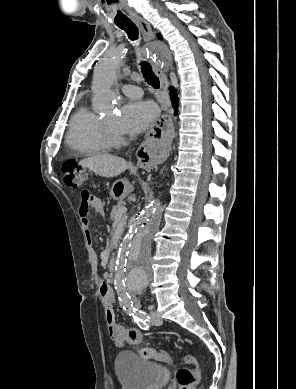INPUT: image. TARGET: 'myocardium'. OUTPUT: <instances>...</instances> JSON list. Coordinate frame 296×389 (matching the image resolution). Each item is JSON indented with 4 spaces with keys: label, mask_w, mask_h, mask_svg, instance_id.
<instances>
[{
    "label": "myocardium",
    "mask_w": 296,
    "mask_h": 389,
    "mask_svg": "<svg viewBox=\"0 0 296 389\" xmlns=\"http://www.w3.org/2000/svg\"><path fill=\"white\" fill-rule=\"evenodd\" d=\"M102 133L108 147L116 146L122 142V138L117 130L106 120H102Z\"/></svg>",
    "instance_id": "obj_1"
}]
</instances>
